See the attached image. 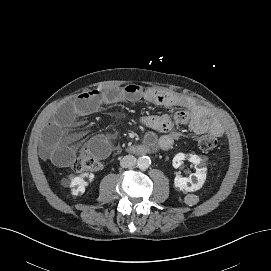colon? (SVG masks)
I'll return each instance as SVG.
<instances>
[{"mask_svg":"<svg viewBox=\"0 0 271 271\" xmlns=\"http://www.w3.org/2000/svg\"><path fill=\"white\" fill-rule=\"evenodd\" d=\"M198 146L202 151H210L218 146L217 138L212 134H206L198 139ZM102 163L98 157L94 156L90 151L83 150L71 164L74 172L97 171L101 169Z\"/></svg>","mask_w":271,"mask_h":271,"instance_id":"1","label":"colon"}]
</instances>
